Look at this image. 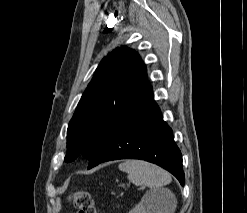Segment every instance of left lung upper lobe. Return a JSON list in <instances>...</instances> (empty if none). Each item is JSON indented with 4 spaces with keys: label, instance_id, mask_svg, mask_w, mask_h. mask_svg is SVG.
Returning a JSON list of instances; mask_svg holds the SVG:
<instances>
[{
    "label": "left lung upper lobe",
    "instance_id": "left-lung-upper-lobe-1",
    "mask_svg": "<svg viewBox=\"0 0 247 213\" xmlns=\"http://www.w3.org/2000/svg\"><path fill=\"white\" fill-rule=\"evenodd\" d=\"M146 81V67L134 50L116 48L103 58L69 123L65 162L80 154L89 159L103 135L141 94Z\"/></svg>",
    "mask_w": 247,
    "mask_h": 213
}]
</instances>
